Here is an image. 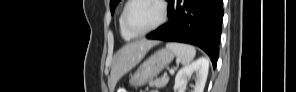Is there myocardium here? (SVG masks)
Here are the masks:
<instances>
[{
    "mask_svg": "<svg viewBox=\"0 0 296 92\" xmlns=\"http://www.w3.org/2000/svg\"><path fill=\"white\" fill-rule=\"evenodd\" d=\"M137 1H141V0H130L127 2V4L125 5L124 7V10H123V15H122V21H123V25L126 29V31L134 36V37H140V36H144L154 30H156L157 28H159L166 20V17H167V9H166V5L163 1L161 0H150V1H154L158 4L159 8H160V17L158 19V21L153 25L151 26L150 28L144 30V31H134L130 26H129V23H128V19H127V14H128V11L131 7V5L134 3V2H137Z\"/></svg>",
    "mask_w": 296,
    "mask_h": 92,
    "instance_id": "1",
    "label": "myocardium"
}]
</instances>
